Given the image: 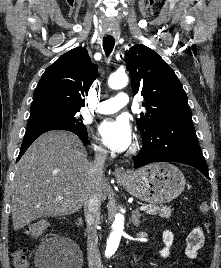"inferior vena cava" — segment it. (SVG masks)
Returning a JSON list of instances; mask_svg holds the SVG:
<instances>
[{"label":"inferior vena cava","instance_id":"1","mask_svg":"<svg viewBox=\"0 0 221 268\" xmlns=\"http://www.w3.org/2000/svg\"><path fill=\"white\" fill-rule=\"evenodd\" d=\"M107 150L98 149L90 169V185L84 199V215L87 222V257L89 268H101L97 226L100 222L101 184Z\"/></svg>","mask_w":221,"mask_h":268}]
</instances>
